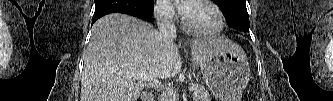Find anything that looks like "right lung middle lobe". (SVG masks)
<instances>
[{"mask_svg": "<svg viewBox=\"0 0 333 101\" xmlns=\"http://www.w3.org/2000/svg\"><path fill=\"white\" fill-rule=\"evenodd\" d=\"M147 2H149L151 5L154 4V0H147Z\"/></svg>", "mask_w": 333, "mask_h": 101, "instance_id": "obj_1", "label": "right lung middle lobe"}]
</instances>
